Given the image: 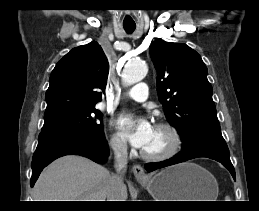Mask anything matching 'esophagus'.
I'll return each instance as SVG.
<instances>
[{"mask_svg":"<svg viewBox=\"0 0 259 211\" xmlns=\"http://www.w3.org/2000/svg\"><path fill=\"white\" fill-rule=\"evenodd\" d=\"M132 171L137 180H146L148 178L143 167L139 164H135L132 167Z\"/></svg>","mask_w":259,"mask_h":211,"instance_id":"34e87169","label":"esophagus"}]
</instances>
